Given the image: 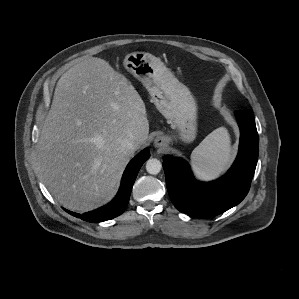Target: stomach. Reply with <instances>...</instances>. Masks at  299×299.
Instances as JSON below:
<instances>
[{
  "label": "stomach",
  "instance_id": "stomach-1",
  "mask_svg": "<svg viewBox=\"0 0 299 299\" xmlns=\"http://www.w3.org/2000/svg\"><path fill=\"white\" fill-rule=\"evenodd\" d=\"M124 66L148 90L156 108L178 132L176 136L185 143L194 141L197 135V105L189 89L151 54L130 53L124 59ZM165 138L170 142L173 136Z\"/></svg>",
  "mask_w": 299,
  "mask_h": 299
}]
</instances>
